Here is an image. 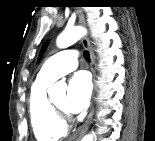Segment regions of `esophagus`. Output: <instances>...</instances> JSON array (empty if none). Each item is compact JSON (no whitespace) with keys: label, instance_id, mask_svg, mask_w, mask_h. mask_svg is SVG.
Wrapping results in <instances>:
<instances>
[{"label":"esophagus","instance_id":"34e87169","mask_svg":"<svg viewBox=\"0 0 155 141\" xmlns=\"http://www.w3.org/2000/svg\"><path fill=\"white\" fill-rule=\"evenodd\" d=\"M77 14H78V19H79V23L84 26L85 25V17H84V14L83 12L78 9L77 10ZM82 45L85 49H87L90 53V59H91V62H90V65H91V71H92V74H93V80L94 82L96 81V63H95V56H94V53H93V50L90 46V43H89V40L87 39L86 36H84L82 38ZM93 113H94V109H92L90 111V113L88 114L87 116V119L85 121V123L82 125L80 131H79V134H78V139L82 138L83 135L86 133V131L88 130L89 128V125L91 123V120H92V117H93Z\"/></svg>","mask_w":155,"mask_h":141}]
</instances>
